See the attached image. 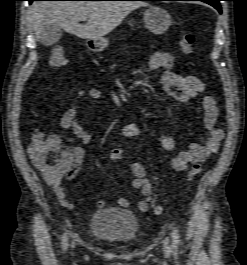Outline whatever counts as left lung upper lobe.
Listing matches in <instances>:
<instances>
[{"instance_id": "1", "label": "left lung upper lobe", "mask_w": 247, "mask_h": 265, "mask_svg": "<svg viewBox=\"0 0 247 265\" xmlns=\"http://www.w3.org/2000/svg\"><path fill=\"white\" fill-rule=\"evenodd\" d=\"M207 1H220V0H207Z\"/></svg>"}]
</instances>
